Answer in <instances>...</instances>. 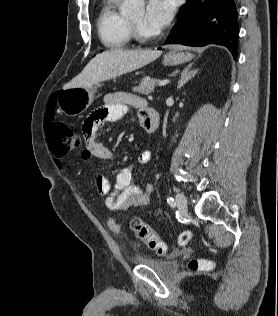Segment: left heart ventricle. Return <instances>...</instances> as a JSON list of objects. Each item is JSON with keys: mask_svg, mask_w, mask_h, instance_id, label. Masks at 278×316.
<instances>
[{"mask_svg": "<svg viewBox=\"0 0 278 316\" xmlns=\"http://www.w3.org/2000/svg\"><path fill=\"white\" fill-rule=\"evenodd\" d=\"M131 20L136 22L137 24H139L144 29L145 32H147V33H154L155 32V31L147 28V26L145 25L143 12H140L138 15L132 17Z\"/></svg>", "mask_w": 278, "mask_h": 316, "instance_id": "b2bd125f", "label": "left heart ventricle"}]
</instances>
